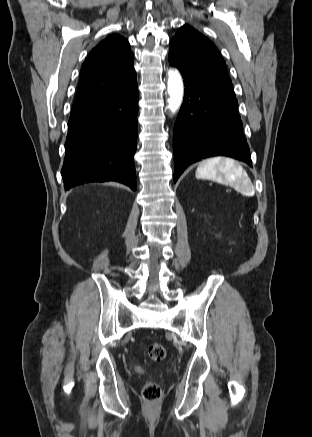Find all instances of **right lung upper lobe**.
<instances>
[{
    "label": "right lung upper lobe",
    "mask_w": 312,
    "mask_h": 437,
    "mask_svg": "<svg viewBox=\"0 0 312 437\" xmlns=\"http://www.w3.org/2000/svg\"><path fill=\"white\" fill-rule=\"evenodd\" d=\"M135 75L128 41L117 34L108 36L92 49L81 67L73 109L115 92Z\"/></svg>",
    "instance_id": "cb5924a9"
}]
</instances>
